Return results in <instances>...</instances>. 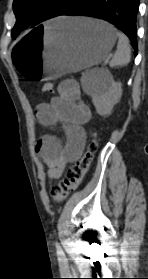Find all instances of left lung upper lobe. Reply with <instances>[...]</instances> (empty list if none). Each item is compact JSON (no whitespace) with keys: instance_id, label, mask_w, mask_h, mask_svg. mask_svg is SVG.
Wrapping results in <instances>:
<instances>
[{"instance_id":"5c2ea615","label":"left lung upper lobe","mask_w":148,"mask_h":279,"mask_svg":"<svg viewBox=\"0 0 148 279\" xmlns=\"http://www.w3.org/2000/svg\"><path fill=\"white\" fill-rule=\"evenodd\" d=\"M74 0H14L13 10L16 24L12 30L13 39L32 23V27L44 20L58 16Z\"/></svg>"}]
</instances>
